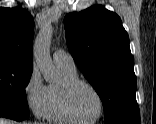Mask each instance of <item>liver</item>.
Segmentation results:
<instances>
[{"label": "liver", "instance_id": "1", "mask_svg": "<svg viewBox=\"0 0 156 124\" xmlns=\"http://www.w3.org/2000/svg\"><path fill=\"white\" fill-rule=\"evenodd\" d=\"M0 124H14L12 121L0 118ZM27 124V123H24Z\"/></svg>", "mask_w": 156, "mask_h": 124}]
</instances>
